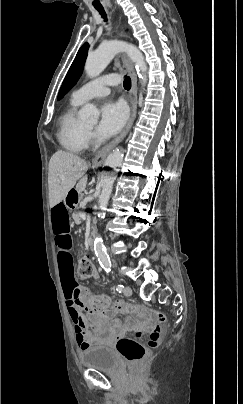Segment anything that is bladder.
<instances>
[{
  "mask_svg": "<svg viewBox=\"0 0 243 404\" xmlns=\"http://www.w3.org/2000/svg\"><path fill=\"white\" fill-rule=\"evenodd\" d=\"M79 359L83 367L114 374L120 370L115 352L106 346H89L81 349Z\"/></svg>",
  "mask_w": 243,
  "mask_h": 404,
  "instance_id": "31cf9c89",
  "label": "bladder"
}]
</instances>
